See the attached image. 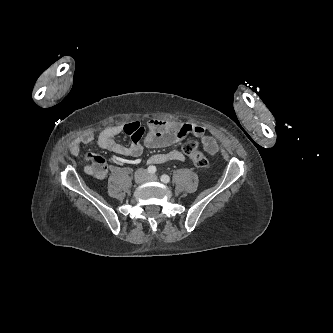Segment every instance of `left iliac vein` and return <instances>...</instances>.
<instances>
[{
	"label": "left iliac vein",
	"mask_w": 333,
	"mask_h": 333,
	"mask_svg": "<svg viewBox=\"0 0 333 333\" xmlns=\"http://www.w3.org/2000/svg\"><path fill=\"white\" fill-rule=\"evenodd\" d=\"M148 179L152 180V181H156V180H158V177L156 175H149Z\"/></svg>",
	"instance_id": "left-iliac-vein-1"
}]
</instances>
